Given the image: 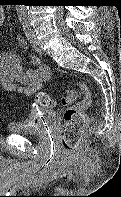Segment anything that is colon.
I'll return each instance as SVG.
<instances>
[{
	"mask_svg": "<svg viewBox=\"0 0 121 197\" xmlns=\"http://www.w3.org/2000/svg\"><path fill=\"white\" fill-rule=\"evenodd\" d=\"M75 84L82 93V99L76 104H73V102L77 98V92L72 89L67 90L59 101L45 92H38L35 95L38 106L55 107L58 104L68 106L64 112L65 123L61 133L62 147L67 152L76 149L86 126L85 110L92 104V95L87 85L79 81H75Z\"/></svg>",
	"mask_w": 121,
	"mask_h": 197,
	"instance_id": "5ec220e1",
	"label": "colon"
}]
</instances>
